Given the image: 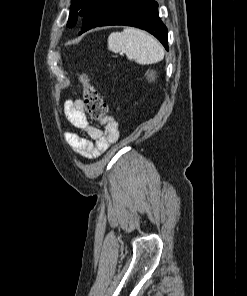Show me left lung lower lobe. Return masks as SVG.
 I'll return each mask as SVG.
<instances>
[{"label":"left lung lower lobe","instance_id":"left-lung-lower-lobe-1","mask_svg":"<svg viewBox=\"0 0 247 296\" xmlns=\"http://www.w3.org/2000/svg\"><path fill=\"white\" fill-rule=\"evenodd\" d=\"M107 25H127L153 34L168 50L167 28L159 18L154 0H99L84 16L82 34Z\"/></svg>","mask_w":247,"mask_h":296}]
</instances>
